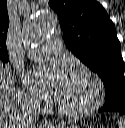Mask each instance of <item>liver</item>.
Wrapping results in <instances>:
<instances>
[{"label": "liver", "mask_w": 125, "mask_h": 128, "mask_svg": "<svg viewBox=\"0 0 125 128\" xmlns=\"http://www.w3.org/2000/svg\"><path fill=\"white\" fill-rule=\"evenodd\" d=\"M23 124L14 102L13 82L0 62V128H20Z\"/></svg>", "instance_id": "1"}]
</instances>
